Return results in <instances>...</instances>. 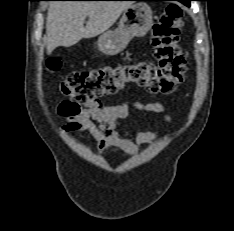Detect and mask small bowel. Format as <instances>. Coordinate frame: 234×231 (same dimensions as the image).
<instances>
[{
  "instance_id": "c3829d8e",
  "label": "small bowel",
  "mask_w": 234,
  "mask_h": 231,
  "mask_svg": "<svg viewBox=\"0 0 234 231\" xmlns=\"http://www.w3.org/2000/svg\"><path fill=\"white\" fill-rule=\"evenodd\" d=\"M147 96L151 99L154 94L149 92ZM62 111V109L60 108ZM131 111L137 113H164L165 107L161 102H125L118 105H106L100 100L88 102L79 112L65 115L62 129L66 133L88 132L96 142L98 153L112 150H120L125 154H132L141 147L156 141L159 136L157 131H145L137 134L135 140L121 138L118 132L120 120L129 116ZM170 121L168 115L165 116Z\"/></svg>"
}]
</instances>
